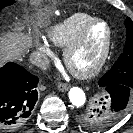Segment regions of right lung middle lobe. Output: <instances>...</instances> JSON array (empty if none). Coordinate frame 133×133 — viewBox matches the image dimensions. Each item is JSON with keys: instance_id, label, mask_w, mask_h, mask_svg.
Returning a JSON list of instances; mask_svg holds the SVG:
<instances>
[{"instance_id": "1", "label": "right lung middle lobe", "mask_w": 133, "mask_h": 133, "mask_svg": "<svg viewBox=\"0 0 133 133\" xmlns=\"http://www.w3.org/2000/svg\"><path fill=\"white\" fill-rule=\"evenodd\" d=\"M14 3V0H0V11L5 6L11 5Z\"/></svg>"}]
</instances>
